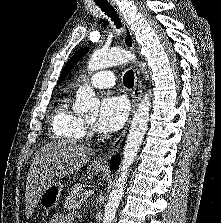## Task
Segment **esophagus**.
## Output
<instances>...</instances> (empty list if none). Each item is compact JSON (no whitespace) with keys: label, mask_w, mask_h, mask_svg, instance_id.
<instances>
[{"label":"esophagus","mask_w":221,"mask_h":223,"mask_svg":"<svg viewBox=\"0 0 221 223\" xmlns=\"http://www.w3.org/2000/svg\"><path fill=\"white\" fill-rule=\"evenodd\" d=\"M110 4L113 6V8L118 13L122 25H123V31H124V45L125 47L130 51L135 53L136 52V44L134 40V36L132 33V30L127 23L125 17L123 16V13L119 10L118 5L115 3L114 0H108ZM142 94V82L140 77V72L138 70L137 65L134 66V88L132 92V106H131V115L123 129V131L117 136V138L111 143L108 154L100 155L96 158V162L100 164H108L111 157L114 155V153L120 148L125 135L127 133V129L130 125L131 118L138 106V103L141 99Z\"/></svg>","instance_id":"obj_1"}]
</instances>
